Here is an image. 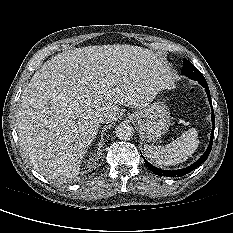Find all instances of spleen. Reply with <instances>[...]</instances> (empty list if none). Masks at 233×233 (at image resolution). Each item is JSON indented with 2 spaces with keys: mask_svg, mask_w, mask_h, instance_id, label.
<instances>
[{
  "mask_svg": "<svg viewBox=\"0 0 233 233\" xmlns=\"http://www.w3.org/2000/svg\"><path fill=\"white\" fill-rule=\"evenodd\" d=\"M198 146L197 130L191 128L166 146L144 145V152L148 160L156 166H173L186 161Z\"/></svg>",
  "mask_w": 233,
  "mask_h": 233,
  "instance_id": "obj_1",
  "label": "spleen"
}]
</instances>
